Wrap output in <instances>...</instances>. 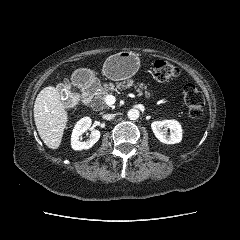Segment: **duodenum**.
I'll use <instances>...</instances> for the list:
<instances>
[{
    "instance_id": "1",
    "label": "duodenum",
    "mask_w": 240,
    "mask_h": 240,
    "mask_svg": "<svg viewBox=\"0 0 240 240\" xmlns=\"http://www.w3.org/2000/svg\"><path fill=\"white\" fill-rule=\"evenodd\" d=\"M82 87H83L82 101L84 104H88L98 89V83L95 80L86 78L82 83Z\"/></svg>"
}]
</instances>
